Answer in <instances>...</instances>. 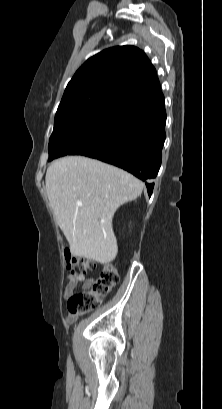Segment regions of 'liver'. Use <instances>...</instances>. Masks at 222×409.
<instances>
[{
  "label": "liver",
  "instance_id": "liver-1",
  "mask_svg": "<svg viewBox=\"0 0 222 409\" xmlns=\"http://www.w3.org/2000/svg\"><path fill=\"white\" fill-rule=\"evenodd\" d=\"M45 182L54 217L72 255L101 264L113 261L118 253L114 213L136 200L144 184L122 169L84 156L54 161Z\"/></svg>",
  "mask_w": 222,
  "mask_h": 409
}]
</instances>
